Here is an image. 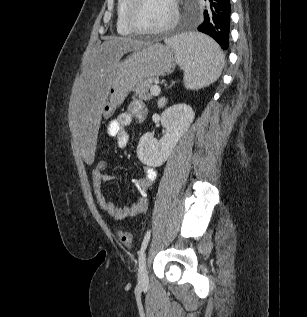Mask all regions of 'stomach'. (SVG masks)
<instances>
[{
    "label": "stomach",
    "mask_w": 307,
    "mask_h": 317,
    "mask_svg": "<svg viewBox=\"0 0 307 317\" xmlns=\"http://www.w3.org/2000/svg\"><path fill=\"white\" fill-rule=\"evenodd\" d=\"M175 66L173 50L169 46L153 43L132 51L116 66L103 101V115L111 116L137 83L170 74Z\"/></svg>",
    "instance_id": "0dacf381"
}]
</instances>
